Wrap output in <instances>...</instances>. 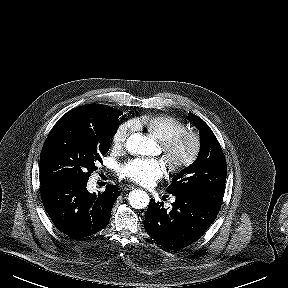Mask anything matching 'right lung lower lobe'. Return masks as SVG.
<instances>
[{
	"label": "right lung lower lobe",
	"instance_id": "obj_1",
	"mask_svg": "<svg viewBox=\"0 0 288 288\" xmlns=\"http://www.w3.org/2000/svg\"><path fill=\"white\" fill-rule=\"evenodd\" d=\"M86 183L41 185L43 205L55 226L71 238L91 236L107 226L120 192L107 185L103 193H89Z\"/></svg>",
	"mask_w": 288,
	"mask_h": 288
}]
</instances>
